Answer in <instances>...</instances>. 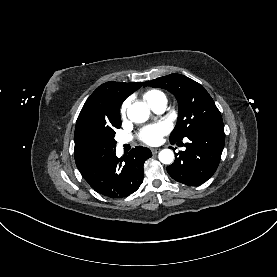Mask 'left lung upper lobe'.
I'll use <instances>...</instances> for the list:
<instances>
[{
  "label": "left lung upper lobe",
  "mask_w": 277,
  "mask_h": 277,
  "mask_svg": "<svg viewBox=\"0 0 277 277\" xmlns=\"http://www.w3.org/2000/svg\"><path fill=\"white\" fill-rule=\"evenodd\" d=\"M144 86L166 89L178 101V121L170 141L183 140L204 126L222 122L221 114L205 88L184 75L170 74L146 81Z\"/></svg>",
  "instance_id": "5c2ea615"
}]
</instances>
